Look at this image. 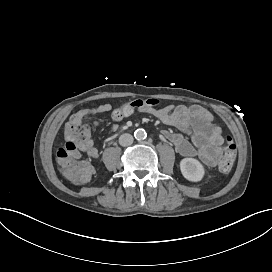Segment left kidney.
<instances>
[{"mask_svg":"<svg viewBox=\"0 0 272 272\" xmlns=\"http://www.w3.org/2000/svg\"><path fill=\"white\" fill-rule=\"evenodd\" d=\"M183 175L192 181H199L203 176L202 165L195 159L186 158L181 161Z\"/></svg>","mask_w":272,"mask_h":272,"instance_id":"5707ae66","label":"left kidney"}]
</instances>
